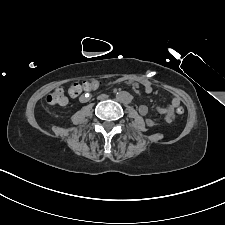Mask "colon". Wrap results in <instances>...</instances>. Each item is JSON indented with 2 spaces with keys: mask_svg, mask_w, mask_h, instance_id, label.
<instances>
[{
  "mask_svg": "<svg viewBox=\"0 0 225 225\" xmlns=\"http://www.w3.org/2000/svg\"><path fill=\"white\" fill-rule=\"evenodd\" d=\"M93 83L91 80L83 81L82 83H72L67 92L70 96L76 97L80 95L83 91H88L92 88ZM66 89L64 86H57L52 92H50L46 97V102L50 105H63L67 102V97L65 95ZM176 113L178 115H182L184 113V109L182 106L177 107Z\"/></svg>",
  "mask_w": 225,
  "mask_h": 225,
  "instance_id": "obj_1",
  "label": "colon"
}]
</instances>
